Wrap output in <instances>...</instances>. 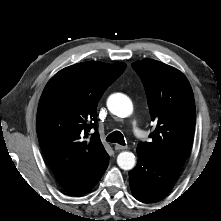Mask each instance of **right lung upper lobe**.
<instances>
[{
    "instance_id": "obj_1",
    "label": "right lung upper lobe",
    "mask_w": 221,
    "mask_h": 221,
    "mask_svg": "<svg viewBox=\"0 0 221 221\" xmlns=\"http://www.w3.org/2000/svg\"><path fill=\"white\" fill-rule=\"evenodd\" d=\"M124 63L91 61L62 69L47 83L37 111L42 152L59 184L71 191L89 183L109 155L97 132V104L125 70ZM91 128L95 132L88 137Z\"/></svg>"
}]
</instances>
